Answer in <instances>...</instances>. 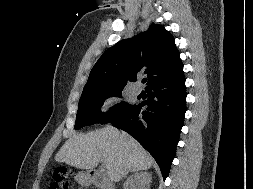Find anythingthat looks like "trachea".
I'll return each mask as SVG.
<instances>
[{
    "label": "trachea",
    "instance_id": "trachea-1",
    "mask_svg": "<svg viewBox=\"0 0 253 189\" xmlns=\"http://www.w3.org/2000/svg\"><path fill=\"white\" fill-rule=\"evenodd\" d=\"M147 81V79L146 78H144L143 80H142V83H145Z\"/></svg>",
    "mask_w": 253,
    "mask_h": 189
}]
</instances>
